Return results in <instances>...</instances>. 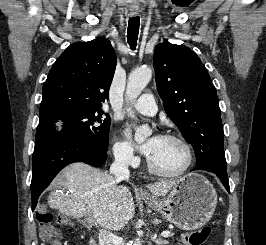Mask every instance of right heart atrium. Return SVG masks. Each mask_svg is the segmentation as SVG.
<instances>
[{
	"label": "right heart atrium",
	"instance_id": "1",
	"mask_svg": "<svg viewBox=\"0 0 266 245\" xmlns=\"http://www.w3.org/2000/svg\"><path fill=\"white\" fill-rule=\"evenodd\" d=\"M112 155L116 161L123 164L133 166L138 162L132 146L124 140H114L112 144Z\"/></svg>",
	"mask_w": 266,
	"mask_h": 245
}]
</instances>
